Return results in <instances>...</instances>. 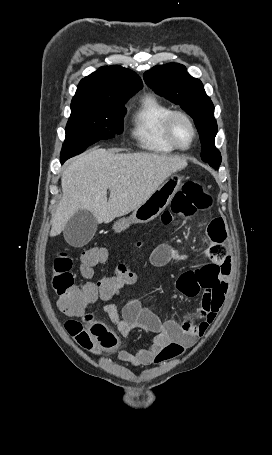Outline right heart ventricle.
Wrapping results in <instances>:
<instances>
[{
  "mask_svg": "<svg viewBox=\"0 0 272 455\" xmlns=\"http://www.w3.org/2000/svg\"><path fill=\"white\" fill-rule=\"evenodd\" d=\"M170 107L152 95L144 96L132 114L131 135L142 150L169 154L175 149L168 143L164 135L165 117Z\"/></svg>",
  "mask_w": 272,
  "mask_h": 455,
  "instance_id": "obj_1",
  "label": "right heart ventricle"
}]
</instances>
